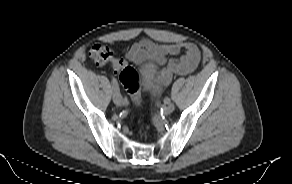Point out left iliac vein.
I'll use <instances>...</instances> for the list:
<instances>
[{"mask_svg":"<svg viewBox=\"0 0 292 184\" xmlns=\"http://www.w3.org/2000/svg\"><path fill=\"white\" fill-rule=\"evenodd\" d=\"M174 110V105L173 103H169L167 104L164 108H163V114L164 115H169L173 112Z\"/></svg>","mask_w":292,"mask_h":184,"instance_id":"4c4485c4","label":"left iliac vein"}]
</instances>
